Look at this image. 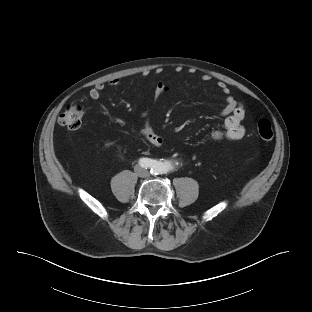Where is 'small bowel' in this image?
I'll use <instances>...</instances> for the list:
<instances>
[{"label": "small bowel", "instance_id": "small-bowel-1", "mask_svg": "<svg viewBox=\"0 0 312 312\" xmlns=\"http://www.w3.org/2000/svg\"><path fill=\"white\" fill-rule=\"evenodd\" d=\"M202 79L204 81H208L210 80V76L204 75ZM119 83V78H114L109 81L110 86H117ZM217 86L221 93L225 96V106L221 111V115L225 117L224 130L213 132L211 134V139L214 141L240 140L245 135V128L242 124L245 118L244 107L231 95L229 87L224 82H218ZM104 88V83H97L89 90V98L92 100H98ZM168 90L169 89L165 84L159 82L156 85L155 89L156 96L158 97ZM144 116H146V114H144ZM141 133L145 137V139L153 146L161 147L163 145L162 137L155 133L149 119H146L144 126L141 129Z\"/></svg>", "mask_w": 312, "mask_h": 312}]
</instances>
